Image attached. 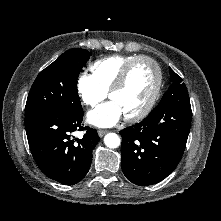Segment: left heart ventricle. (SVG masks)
<instances>
[{"label": "left heart ventricle", "mask_w": 221, "mask_h": 221, "mask_svg": "<svg viewBox=\"0 0 221 221\" xmlns=\"http://www.w3.org/2000/svg\"><path fill=\"white\" fill-rule=\"evenodd\" d=\"M156 83L153 65L140 61L131 69L125 85L111 94L110 99L121 108L124 116L138 113L149 100Z\"/></svg>", "instance_id": "obj_1"}]
</instances>
